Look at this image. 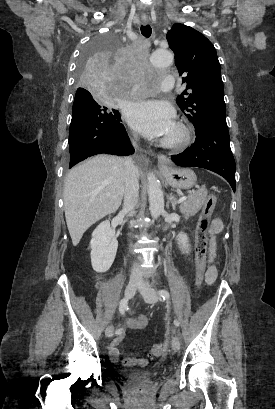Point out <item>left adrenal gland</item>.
Returning a JSON list of instances; mask_svg holds the SVG:
<instances>
[{
  "instance_id": "left-adrenal-gland-1",
  "label": "left adrenal gland",
  "mask_w": 275,
  "mask_h": 409,
  "mask_svg": "<svg viewBox=\"0 0 275 409\" xmlns=\"http://www.w3.org/2000/svg\"><path fill=\"white\" fill-rule=\"evenodd\" d=\"M169 202H172V209H173V211H176L177 200H176V198H174V196H172V192H171L170 196H168V200L166 202L167 209L169 207Z\"/></svg>"
}]
</instances>
